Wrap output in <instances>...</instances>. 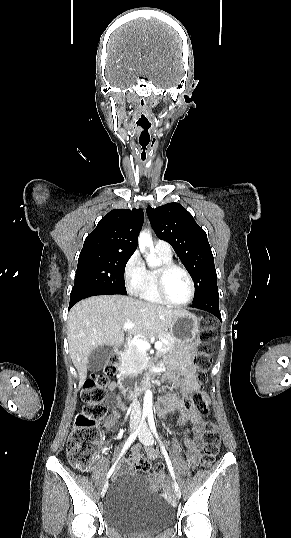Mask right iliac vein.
I'll return each mask as SVG.
<instances>
[{"label": "right iliac vein", "instance_id": "obj_1", "mask_svg": "<svg viewBox=\"0 0 291 538\" xmlns=\"http://www.w3.org/2000/svg\"><path fill=\"white\" fill-rule=\"evenodd\" d=\"M137 424H138L137 420H133V421L131 422V424H130V431H131V432L134 431V429L137 427ZM107 488H108V482H106V483L104 484V486L102 487V491H101V495H102V496L105 495V493H106V491H107Z\"/></svg>", "mask_w": 291, "mask_h": 538}]
</instances>
